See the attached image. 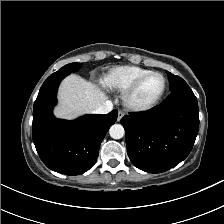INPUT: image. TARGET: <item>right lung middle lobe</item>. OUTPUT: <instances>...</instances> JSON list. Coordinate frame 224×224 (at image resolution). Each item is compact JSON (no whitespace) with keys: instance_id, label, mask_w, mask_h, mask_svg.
Returning <instances> with one entry per match:
<instances>
[{"instance_id":"right-lung-middle-lobe-1","label":"right lung middle lobe","mask_w":224,"mask_h":224,"mask_svg":"<svg viewBox=\"0 0 224 224\" xmlns=\"http://www.w3.org/2000/svg\"><path fill=\"white\" fill-rule=\"evenodd\" d=\"M80 63H70L65 65L64 67L60 68L57 73H67L74 72L80 68Z\"/></svg>"}]
</instances>
